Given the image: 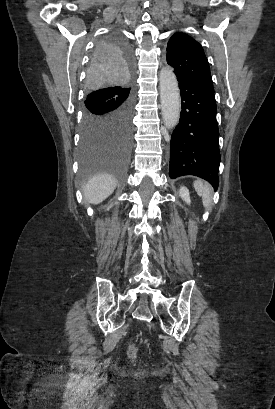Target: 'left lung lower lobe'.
<instances>
[{"label": "left lung lower lobe", "mask_w": 275, "mask_h": 409, "mask_svg": "<svg viewBox=\"0 0 275 409\" xmlns=\"http://www.w3.org/2000/svg\"><path fill=\"white\" fill-rule=\"evenodd\" d=\"M180 122L171 136L169 177L195 175L219 184V128L214 88L191 78L178 77Z\"/></svg>", "instance_id": "0a47b994"}]
</instances>
